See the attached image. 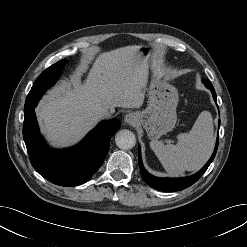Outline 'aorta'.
Here are the masks:
<instances>
[{"mask_svg":"<svg viewBox=\"0 0 247 247\" xmlns=\"http://www.w3.org/2000/svg\"><path fill=\"white\" fill-rule=\"evenodd\" d=\"M115 142L120 149L128 150L135 146L136 138L132 131L123 129L116 133Z\"/></svg>","mask_w":247,"mask_h":247,"instance_id":"1","label":"aorta"}]
</instances>
